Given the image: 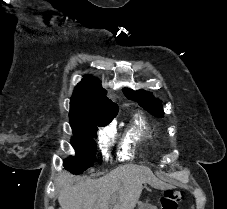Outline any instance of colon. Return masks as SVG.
Instances as JSON below:
<instances>
[{
  "label": "colon",
  "instance_id": "colon-1",
  "mask_svg": "<svg viewBox=\"0 0 227 209\" xmlns=\"http://www.w3.org/2000/svg\"><path fill=\"white\" fill-rule=\"evenodd\" d=\"M184 198V191L180 189H167L160 198V209H179Z\"/></svg>",
  "mask_w": 227,
  "mask_h": 209
}]
</instances>
